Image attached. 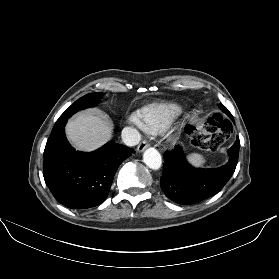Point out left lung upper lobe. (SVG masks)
I'll list each match as a JSON object with an SVG mask.
<instances>
[{
  "mask_svg": "<svg viewBox=\"0 0 279 279\" xmlns=\"http://www.w3.org/2000/svg\"><path fill=\"white\" fill-rule=\"evenodd\" d=\"M219 108L231 118L230 112L228 111V109L223 104L220 103Z\"/></svg>",
  "mask_w": 279,
  "mask_h": 279,
  "instance_id": "obj_1",
  "label": "left lung upper lobe"
}]
</instances>
